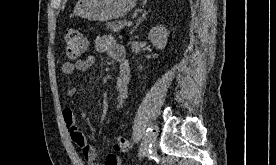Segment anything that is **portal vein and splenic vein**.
I'll list each match as a JSON object with an SVG mask.
<instances>
[{
	"label": "portal vein and splenic vein",
	"instance_id": "obj_1",
	"mask_svg": "<svg viewBox=\"0 0 276 165\" xmlns=\"http://www.w3.org/2000/svg\"><path fill=\"white\" fill-rule=\"evenodd\" d=\"M126 25L131 26V25H132V21H128V22L126 23Z\"/></svg>",
	"mask_w": 276,
	"mask_h": 165
}]
</instances>
